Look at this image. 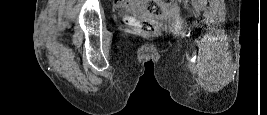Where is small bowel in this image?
<instances>
[{
    "label": "small bowel",
    "mask_w": 267,
    "mask_h": 115,
    "mask_svg": "<svg viewBox=\"0 0 267 115\" xmlns=\"http://www.w3.org/2000/svg\"><path fill=\"white\" fill-rule=\"evenodd\" d=\"M116 7L133 14H142L145 10L143 3L126 0L117 1Z\"/></svg>",
    "instance_id": "obj_1"
}]
</instances>
